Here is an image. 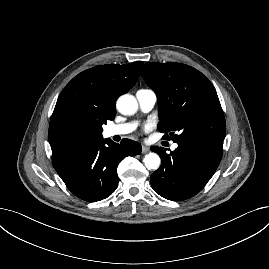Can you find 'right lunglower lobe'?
Wrapping results in <instances>:
<instances>
[{
  "instance_id": "obj_1",
  "label": "right lung lower lobe",
  "mask_w": 269,
  "mask_h": 269,
  "mask_svg": "<svg viewBox=\"0 0 269 269\" xmlns=\"http://www.w3.org/2000/svg\"><path fill=\"white\" fill-rule=\"evenodd\" d=\"M140 153L138 142L123 139L118 144L99 138L52 155V165L75 196L96 202L109 197L118 187L120 161Z\"/></svg>"
}]
</instances>
